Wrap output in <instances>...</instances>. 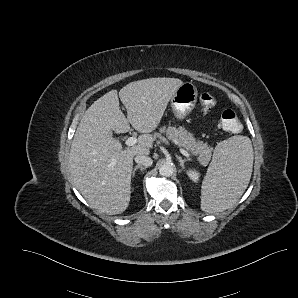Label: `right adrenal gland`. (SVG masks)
<instances>
[{
	"label": "right adrenal gland",
	"instance_id": "2a0ac1e0",
	"mask_svg": "<svg viewBox=\"0 0 298 298\" xmlns=\"http://www.w3.org/2000/svg\"><path fill=\"white\" fill-rule=\"evenodd\" d=\"M146 167H147V166H141V165L137 164V165H135V166L132 168V174H134V172H135L136 169L139 168L140 170H145Z\"/></svg>",
	"mask_w": 298,
	"mask_h": 298
}]
</instances>
